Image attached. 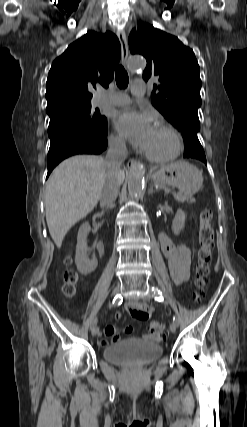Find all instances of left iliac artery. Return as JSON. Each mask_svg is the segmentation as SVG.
Here are the masks:
<instances>
[{
  "mask_svg": "<svg viewBox=\"0 0 247 427\" xmlns=\"http://www.w3.org/2000/svg\"><path fill=\"white\" fill-rule=\"evenodd\" d=\"M150 294L152 297L155 298V300H158L160 302L163 301L162 292L157 287H152ZM173 322H176L178 324V319L175 315L173 316Z\"/></svg>",
  "mask_w": 247,
  "mask_h": 427,
  "instance_id": "44dca946",
  "label": "left iliac artery"
}]
</instances>
